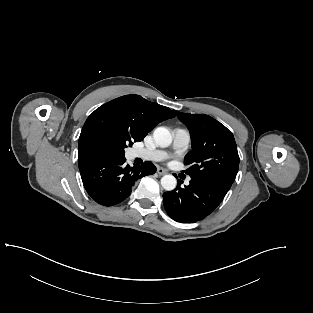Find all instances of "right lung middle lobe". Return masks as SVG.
Instances as JSON below:
<instances>
[{"label": "right lung middle lobe", "instance_id": "dd1d6c3e", "mask_svg": "<svg viewBox=\"0 0 313 313\" xmlns=\"http://www.w3.org/2000/svg\"><path fill=\"white\" fill-rule=\"evenodd\" d=\"M127 146H132V142L126 138H120L117 144V147L115 149V151L113 152V157L119 158V157H124V149Z\"/></svg>", "mask_w": 313, "mask_h": 313}]
</instances>
